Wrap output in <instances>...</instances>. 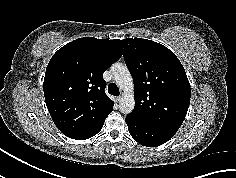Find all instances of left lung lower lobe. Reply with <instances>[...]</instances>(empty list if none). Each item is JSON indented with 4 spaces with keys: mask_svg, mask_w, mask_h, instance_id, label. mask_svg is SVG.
<instances>
[{
    "mask_svg": "<svg viewBox=\"0 0 236 178\" xmlns=\"http://www.w3.org/2000/svg\"><path fill=\"white\" fill-rule=\"evenodd\" d=\"M130 135L141 145L156 147L169 141L176 130L149 124L145 121L127 116L125 119Z\"/></svg>",
    "mask_w": 236,
    "mask_h": 178,
    "instance_id": "1",
    "label": "left lung lower lobe"
}]
</instances>
